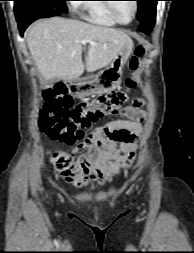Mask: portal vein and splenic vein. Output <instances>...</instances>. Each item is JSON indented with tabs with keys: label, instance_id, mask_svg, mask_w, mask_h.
I'll use <instances>...</instances> for the list:
<instances>
[{
	"label": "portal vein and splenic vein",
	"instance_id": "obj_1",
	"mask_svg": "<svg viewBox=\"0 0 194 253\" xmlns=\"http://www.w3.org/2000/svg\"><path fill=\"white\" fill-rule=\"evenodd\" d=\"M81 43H82L83 45L86 44V43L94 44L93 42H91V41H89V40H86V39L82 40Z\"/></svg>",
	"mask_w": 194,
	"mask_h": 253
}]
</instances>
